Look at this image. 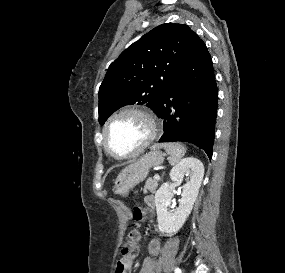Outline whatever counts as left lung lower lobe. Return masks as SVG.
I'll return each instance as SVG.
<instances>
[{
  "instance_id": "0a47b994",
  "label": "left lung lower lobe",
  "mask_w": 285,
  "mask_h": 273,
  "mask_svg": "<svg viewBox=\"0 0 285 273\" xmlns=\"http://www.w3.org/2000/svg\"><path fill=\"white\" fill-rule=\"evenodd\" d=\"M218 90L205 43L194 32L183 62L155 112L164 123L159 142L184 141L212 157Z\"/></svg>"
}]
</instances>
